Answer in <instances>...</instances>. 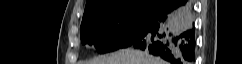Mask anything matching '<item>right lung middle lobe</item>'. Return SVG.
<instances>
[{"label": "right lung middle lobe", "mask_w": 242, "mask_h": 64, "mask_svg": "<svg viewBox=\"0 0 242 64\" xmlns=\"http://www.w3.org/2000/svg\"><path fill=\"white\" fill-rule=\"evenodd\" d=\"M159 11L135 8L95 16L81 23L82 44L94 46L98 53L129 47L157 20Z\"/></svg>", "instance_id": "1"}]
</instances>
